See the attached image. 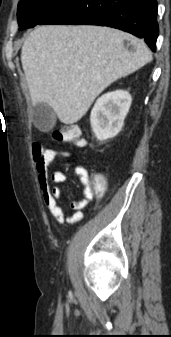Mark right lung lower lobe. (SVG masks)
I'll return each instance as SVG.
<instances>
[{
  "mask_svg": "<svg viewBox=\"0 0 171 337\" xmlns=\"http://www.w3.org/2000/svg\"><path fill=\"white\" fill-rule=\"evenodd\" d=\"M157 0H67L40 24L109 26L143 38L156 51Z\"/></svg>",
  "mask_w": 171,
  "mask_h": 337,
  "instance_id": "right-lung-lower-lobe-1",
  "label": "right lung lower lobe"
}]
</instances>
